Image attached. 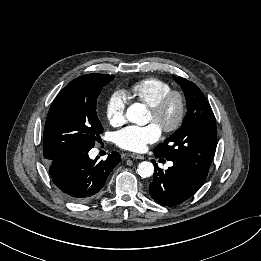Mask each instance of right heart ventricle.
<instances>
[{"instance_id":"obj_1","label":"right heart ventricle","mask_w":261,"mask_h":261,"mask_svg":"<svg viewBox=\"0 0 261 261\" xmlns=\"http://www.w3.org/2000/svg\"><path fill=\"white\" fill-rule=\"evenodd\" d=\"M171 90L170 84L163 80L146 78L136 82L128 91V95L151 108Z\"/></svg>"}]
</instances>
